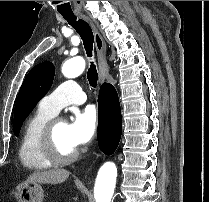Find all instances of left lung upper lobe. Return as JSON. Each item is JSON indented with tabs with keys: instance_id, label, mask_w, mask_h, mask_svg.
Listing matches in <instances>:
<instances>
[{
	"instance_id": "left-lung-upper-lobe-1",
	"label": "left lung upper lobe",
	"mask_w": 209,
	"mask_h": 202,
	"mask_svg": "<svg viewBox=\"0 0 209 202\" xmlns=\"http://www.w3.org/2000/svg\"><path fill=\"white\" fill-rule=\"evenodd\" d=\"M54 65L42 62L27 74L17 97L14 111V132L18 136L21 125L35 105L50 89L54 78Z\"/></svg>"
}]
</instances>
